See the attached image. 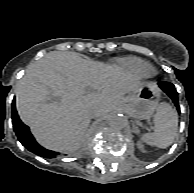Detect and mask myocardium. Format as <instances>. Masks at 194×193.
I'll return each instance as SVG.
<instances>
[{"label": "myocardium", "mask_w": 194, "mask_h": 193, "mask_svg": "<svg viewBox=\"0 0 194 193\" xmlns=\"http://www.w3.org/2000/svg\"><path fill=\"white\" fill-rule=\"evenodd\" d=\"M154 74V69H152L149 73V76H152Z\"/></svg>", "instance_id": "myocardium-1"}]
</instances>
